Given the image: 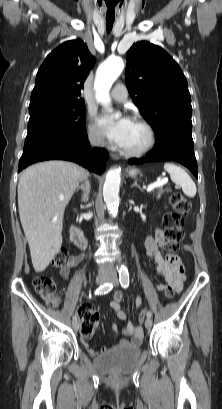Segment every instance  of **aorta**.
Here are the masks:
<instances>
[{
    "label": "aorta",
    "instance_id": "obj_1",
    "mask_svg": "<svg viewBox=\"0 0 222 409\" xmlns=\"http://www.w3.org/2000/svg\"><path fill=\"white\" fill-rule=\"evenodd\" d=\"M124 62L121 58L107 59L97 70L94 87L96 99L105 107L110 103L109 91L112 84L121 74ZM121 182L120 168H112L107 172L103 186V197L107 207L117 212L119 205V188Z\"/></svg>",
    "mask_w": 222,
    "mask_h": 409
}]
</instances>
